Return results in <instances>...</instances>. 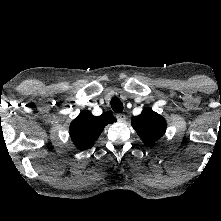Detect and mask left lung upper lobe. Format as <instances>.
Listing matches in <instances>:
<instances>
[{"mask_svg": "<svg viewBox=\"0 0 221 221\" xmlns=\"http://www.w3.org/2000/svg\"><path fill=\"white\" fill-rule=\"evenodd\" d=\"M131 125L146 145H152L166 131L165 119L150 108H145L140 115L131 118Z\"/></svg>", "mask_w": 221, "mask_h": 221, "instance_id": "obj_1", "label": "left lung upper lobe"}]
</instances>
